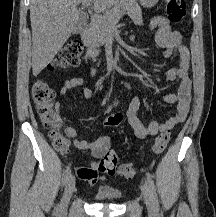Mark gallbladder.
I'll return each mask as SVG.
<instances>
[{
  "instance_id": "1",
  "label": "gallbladder",
  "mask_w": 216,
  "mask_h": 217,
  "mask_svg": "<svg viewBox=\"0 0 216 217\" xmlns=\"http://www.w3.org/2000/svg\"><path fill=\"white\" fill-rule=\"evenodd\" d=\"M79 27L80 25L76 28V30L74 31L75 33H78L79 32Z\"/></svg>"
}]
</instances>
